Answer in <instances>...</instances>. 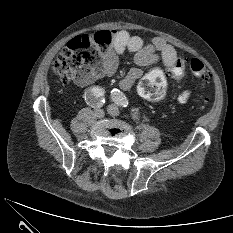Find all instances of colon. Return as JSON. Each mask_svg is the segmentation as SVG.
I'll return each instance as SVG.
<instances>
[{
	"label": "colon",
	"instance_id": "1",
	"mask_svg": "<svg viewBox=\"0 0 233 233\" xmlns=\"http://www.w3.org/2000/svg\"><path fill=\"white\" fill-rule=\"evenodd\" d=\"M110 44L111 35L108 32H101L94 36H77L61 49L53 62L52 69L64 83L70 81L86 83L98 73V66ZM187 67L204 85L212 82V74L198 58L188 61L178 57L168 70V74L174 79H181ZM166 78L167 74L162 69H151L139 84V94L150 101L161 100L166 91Z\"/></svg>",
	"mask_w": 233,
	"mask_h": 233
}]
</instances>
